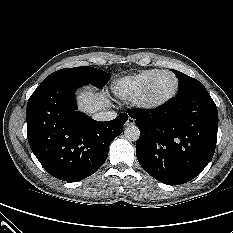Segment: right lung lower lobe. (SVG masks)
Returning <instances> with one entry per match:
<instances>
[{"mask_svg":"<svg viewBox=\"0 0 233 233\" xmlns=\"http://www.w3.org/2000/svg\"><path fill=\"white\" fill-rule=\"evenodd\" d=\"M64 79L36 89L27 103L29 145L52 176L74 182L95 173L109 145L123 131L128 115L99 122L77 111L75 90L84 85Z\"/></svg>","mask_w":233,"mask_h":233,"instance_id":"obj_1","label":"right lung lower lobe"}]
</instances>
